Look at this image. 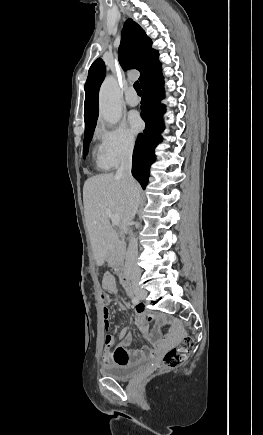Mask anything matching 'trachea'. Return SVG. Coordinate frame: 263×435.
<instances>
[{
    "mask_svg": "<svg viewBox=\"0 0 263 435\" xmlns=\"http://www.w3.org/2000/svg\"><path fill=\"white\" fill-rule=\"evenodd\" d=\"M134 89L136 90V92L138 93V94H141L142 92H141V87H140V84H139V82L138 81H136L135 83H134Z\"/></svg>",
    "mask_w": 263,
    "mask_h": 435,
    "instance_id": "obj_1",
    "label": "trachea"
}]
</instances>
